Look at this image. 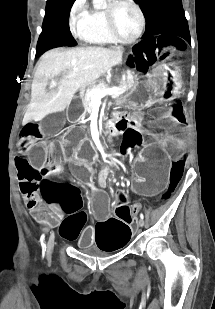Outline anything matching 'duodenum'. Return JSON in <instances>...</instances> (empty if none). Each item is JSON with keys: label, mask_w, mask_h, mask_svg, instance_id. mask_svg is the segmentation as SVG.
<instances>
[{"label": "duodenum", "mask_w": 215, "mask_h": 309, "mask_svg": "<svg viewBox=\"0 0 215 309\" xmlns=\"http://www.w3.org/2000/svg\"><path fill=\"white\" fill-rule=\"evenodd\" d=\"M132 119L127 114H115L111 118L105 120V129L108 133H115L117 131L123 130L125 127L130 125Z\"/></svg>", "instance_id": "duodenum-1"}]
</instances>
